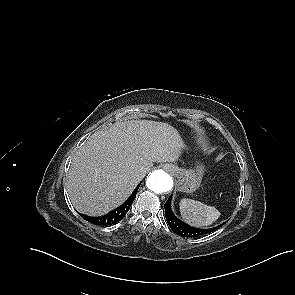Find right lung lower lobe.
Returning <instances> with one entry per match:
<instances>
[{
    "label": "right lung lower lobe",
    "mask_w": 295,
    "mask_h": 295,
    "mask_svg": "<svg viewBox=\"0 0 295 295\" xmlns=\"http://www.w3.org/2000/svg\"><path fill=\"white\" fill-rule=\"evenodd\" d=\"M139 186L140 184L136 187L132 195L123 205L113 210L112 212L100 217H90L83 214H80V216L84 218L85 220H87L88 222L93 223L95 225L106 226V225L116 224L117 222L121 221L125 217L126 213L129 211L136 197Z\"/></svg>",
    "instance_id": "obj_1"
}]
</instances>
